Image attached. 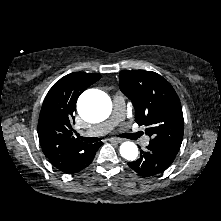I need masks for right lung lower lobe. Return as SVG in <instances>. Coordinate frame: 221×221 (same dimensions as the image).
Returning a JSON list of instances; mask_svg holds the SVG:
<instances>
[{"instance_id":"98d812e1","label":"right lung lower lobe","mask_w":221,"mask_h":221,"mask_svg":"<svg viewBox=\"0 0 221 221\" xmlns=\"http://www.w3.org/2000/svg\"><path fill=\"white\" fill-rule=\"evenodd\" d=\"M102 144H103L102 142L91 144L90 149L85 153V155L83 156V158L80 161V163L78 164V166L75 169H73L71 172H69L68 174H73V173L79 172L82 169L86 168L88 165H90L93 160V157L95 156L97 149Z\"/></svg>"}]
</instances>
